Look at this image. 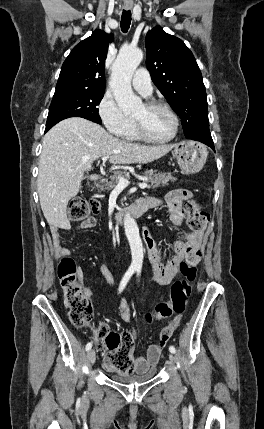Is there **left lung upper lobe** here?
<instances>
[{
  "instance_id": "obj_1",
  "label": "left lung upper lobe",
  "mask_w": 264,
  "mask_h": 429,
  "mask_svg": "<svg viewBox=\"0 0 264 429\" xmlns=\"http://www.w3.org/2000/svg\"><path fill=\"white\" fill-rule=\"evenodd\" d=\"M145 46L152 80L180 116L186 138L210 134L206 90L190 49L160 26L147 33Z\"/></svg>"
}]
</instances>
